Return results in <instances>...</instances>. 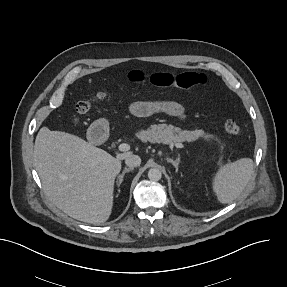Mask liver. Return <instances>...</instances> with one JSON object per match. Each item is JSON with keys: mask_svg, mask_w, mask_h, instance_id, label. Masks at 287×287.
I'll return each mask as SVG.
<instances>
[{"mask_svg": "<svg viewBox=\"0 0 287 287\" xmlns=\"http://www.w3.org/2000/svg\"><path fill=\"white\" fill-rule=\"evenodd\" d=\"M82 138L42 127L34 145V164L48 199L70 217L99 225L111 215L114 182L121 160Z\"/></svg>", "mask_w": 287, "mask_h": 287, "instance_id": "obj_1", "label": "liver"}]
</instances>
